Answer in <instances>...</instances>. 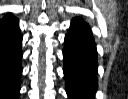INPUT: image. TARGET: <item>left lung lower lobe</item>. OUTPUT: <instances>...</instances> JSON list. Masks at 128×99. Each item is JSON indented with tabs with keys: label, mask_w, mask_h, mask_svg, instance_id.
<instances>
[{
	"label": "left lung lower lobe",
	"mask_w": 128,
	"mask_h": 99,
	"mask_svg": "<svg viewBox=\"0 0 128 99\" xmlns=\"http://www.w3.org/2000/svg\"><path fill=\"white\" fill-rule=\"evenodd\" d=\"M64 75L69 99H94L97 90V50L90 27L74 18L65 37Z\"/></svg>",
	"instance_id": "left-lung-lower-lobe-1"
}]
</instances>
